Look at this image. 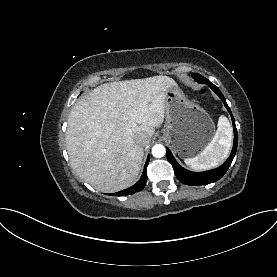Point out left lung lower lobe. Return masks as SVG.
Returning <instances> with one entry per match:
<instances>
[{
    "label": "left lung lower lobe",
    "mask_w": 277,
    "mask_h": 277,
    "mask_svg": "<svg viewBox=\"0 0 277 277\" xmlns=\"http://www.w3.org/2000/svg\"><path fill=\"white\" fill-rule=\"evenodd\" d=\"M196 81L199 83L207 84L223 101L226 109L229 111V113L231 115L233 128H234V143H233L232 152H231L229 158L226 160V162L216 169L205 171V172H191V171L184 169L177 163V161L173 157L171 151L167 148V159L171 163L176 177L182 183H184L186 185H193V186L206 185V184H209V183L219 180L226 173L229 166L231 165V162L236 154L237 143H238V134H237L236 126H235V120H234L231 110H230L229 106L227 105L226 100H225L223 94L221 93V91L218 89L217 86L212 84L206 78L205 79H197Z\"/></svg>",
    "instance_id": "0a47b994"
}]
</instances>
